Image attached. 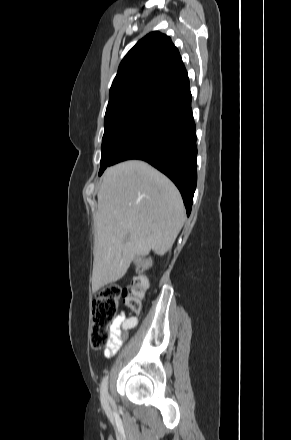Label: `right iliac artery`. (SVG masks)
Returning <instances> with one entry per match:
<instances>
[{"label": "right iliac artery", "instance_id": "82829eb1", "mask_svg": "<svg viewBox=\"0 0 291 440\" xmlns=\"http://www.w3.org/2000/svg\"><path fill=\"white\" fill-rule=\"evenodd\" d=\"M100 394H101V403L103 405V408L107 414L110 413V408L108 404V375L105 376L102 380L101 387H100Z\"/></svg>", "mask_w": 291, "mask_h": 440}]
</instances>
